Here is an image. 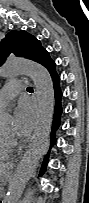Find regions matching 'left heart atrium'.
<instances>
[{"label":"left heart atrium","instance_id":"1","mask_svg":"<svg viewBox=\"0 0 89 203\" xmlns=\"http://www.w3.org/2000/svg\"><path fill=\"white\" fill-rule=\"evenodd\" d=\"M15 132L18 138H26L32 131L35 113L33 107L27 101H20L15 114Z\"/></svg>","mask_w":89,"mask_h":203}]
</instances>
